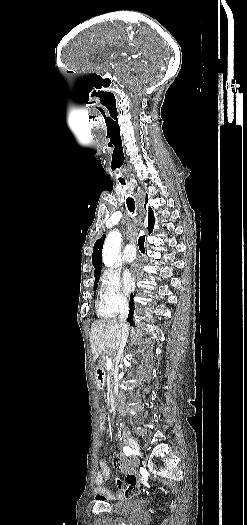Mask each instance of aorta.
<instances>
[{"mask_svg":"<svg viewBox=\"0 0 247 525\" xmlns=\"http://www.w3.org/2000/svg\"><path fill=\"white\" fill-rule=\"evenodd\" d=\"M121 247V234L119 231H111L104 242L102 260L105 266L113 267L118 260Z\"/></svg>","mask_w":247,"mask_h":525,"instance_id":"762f6f07","label":"aorta"}]
</instances>
